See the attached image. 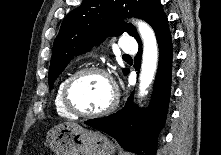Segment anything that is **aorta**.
<instances>
[{"label": "aorta", "mask_w": 221, "mask_h": 155, "mask_svg": "<svg viewBox=\"0 0 221 155\" xmlns=\"http://www.w3.org/2000/svg\"><path fill=\"white\" fill-rule=\"evenodd\" d=\"M143 40V56L140 72L139 96L147 94V88L154 79L158 63V45L152 28L143 21L135 22Z\"/></svg>", "instance_id": "obj_1"}]
</instances>
